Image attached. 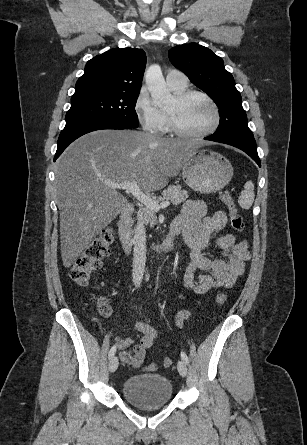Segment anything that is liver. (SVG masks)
I'll list each match as a JSON object with an SVG mask.
<instances>
[{"instance_id": "obj_1", "label": "liver", "mask_w": 307, "mask_h": 445, "mask_svg": "<svg viewBox=\"0 0 307 445\" xmlns=\"http://www.w3.org/2000/svg\"><path fill=\"white\" fill-rule=\"evenodd\" d=\"M199 146L194 140L139 130H94L74 140L56 170L64 267L92 247L95 237L125 208L126 196L106 182L137 180L144 192L160 190Z\"/></svg>"}]
</instances>
